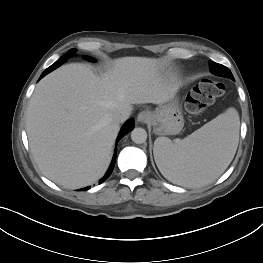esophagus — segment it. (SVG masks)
I'll list each match as a JSON object with an SVG mask.
<instances>
[{
	"mask_svg": "<svg viewBox=\"0 0 263 263\" xmlns=\"http://www.w3.org/2000/svg\"><path fill=\"white\" fill-rule=\"evenodd\" d=\"M150 117V113L148 111H141L137 116V121L140 123L147 122Z\"/></svg>",
	"mask_w": 263,
	"mask_h": 263,
	"instance_id": "esophagus-1",
	"label": "esophagus"
}]
</instances>
